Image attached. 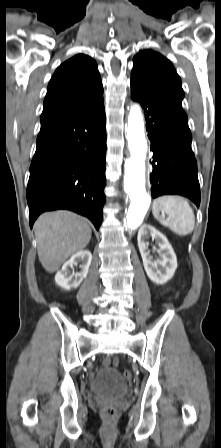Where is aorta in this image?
Masks as SVG:
<instances>
[{
  "label": "aorta",
  "mask_w": 221,
  "mask_h": 448,
  "mask_svg": "<svg viewBox=\"0 0 221 448\" xmlns=\"http://www.w3.org/2000/svg\"><path fill=\"white\" fill-rule=\"evenodd\" d=\"M127 139L130 158L125 162L124 190L129 195L130 206L125 226L131 229L141 225L149 208L151 198L145 189V159L147 141L141 108L133 104L128 116Z\"/></svg>",
  "instance_id": "762f6f07"
}]
</instances>
